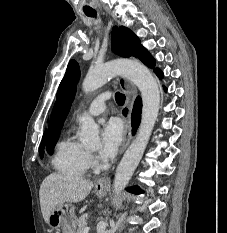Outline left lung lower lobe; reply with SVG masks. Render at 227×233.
<instances>
[{
    "instance_id": "0a47b994",
    "label": "left lung lower lobe",
    "mask_w": 227,
    "mask_h": 233,
    "mask_svg": "<svg viewBox=\"0 0 227 233\" xmlns=\"http://www.w3.org/2000/svg\"><path fill=\"white\" fill-rule=\"evenodd\" d=\"M156 75H157L159 78H163V73H162L160 70L156 72ZM127 190H128L129 192L136 193V194L142 193V191L140 190V188H138L137 186H136V187L127 188Z\"/></svg>"
}]
</instances>
